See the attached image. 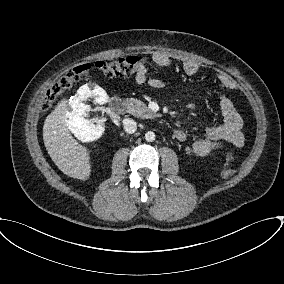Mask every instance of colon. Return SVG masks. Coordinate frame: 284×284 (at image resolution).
I'll list each match as a JSON object with an SVG mask.
<instances>
[{
	"label": "colon",
	"instance_id": "5ec220e1",
	"mask_svg": "<svg viewBox=\"0 0 284 284\" xmlns=\"http://www.w3.org/2000/svg\"><path fill=\"white\" fill-rule=\"evenodd\" d=\"M144 66H146L145 60L139 56H128L110 61H98L95 63V67L109 78L133 75ZM90 70V64H83L73 68L63 75L47 90L43 98V110L48 109L60 94L80 81L89 73ZM234 158V152L230 151L226 165L222 170V175L224 177H228L234 173Z\"/></svg>",
	"mask_w": 284,
	"mask_h": 284
}]
</instances>
